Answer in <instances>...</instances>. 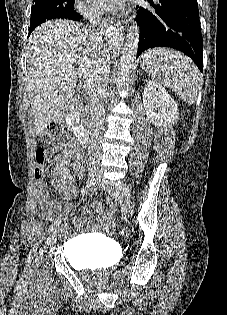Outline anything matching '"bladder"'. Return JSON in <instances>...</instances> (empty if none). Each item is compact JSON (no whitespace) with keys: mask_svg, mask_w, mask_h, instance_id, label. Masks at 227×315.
I'll return each instance as SVG.
<instances>
[{"mask_svg":"<svg viewBox=\"0 0 227 315\" xmlns=\"http://www.w3.org/2000/svg\"><path fill=\"white\" fill-rule=\"evenodd\" d=\"M69 246L75 249L71 264L78 269L108 268L117 260V250L105 239L84 236L71 239Z\"/></svg>","mask_w":227,"mask_h":315,"instance_id":"31cf9c89","label":"bladder"}]
</instances>
